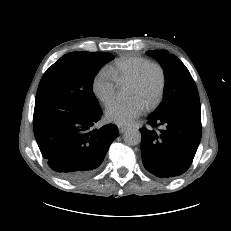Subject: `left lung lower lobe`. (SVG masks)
<instances>
[{
  "instance_id": "obj_1",
  "label": "left lung lower lobe",
  "mask_w": 231,
  "mask_h": 231,
  "mask_svg": "<svg viewBox=\"0 0 231 231\" xmlns=\"http://www.w3.org/2000/svg\"><path fill=\"white\" fill-rule=\"evenodd\" d=\"M142 134L141 156L145 169L160 178L183 174L192 164L201 140V112L187 108L168 115H149ZM162 127L156 131L152 128Z\"/></svg>"
}]
</instances>
